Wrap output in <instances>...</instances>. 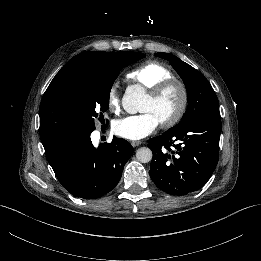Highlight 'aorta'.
Here are the masks:
<instances>
[{
  "label": "aorta",
  "mask_w": 261,
  "mask_h": 261,
  "mask_svg": "<svg viewBox=\"0 0 261 261\" xmlns=\"http://www.w3.org/2000/svg\"><path fill=\"white\" fill-rule=\"evenodd\" d=\"M145 89L142 86H138V89H133L130 93L126 92V96L129 97L132 109L129 112H146V103L149 104L150 96L144 94ZM128 110V108H127ZM153 154L150 148L141 147L136 152V158L141 163H148L152 160Z\"/></svg>",
  "instance_id": "aorta-1"
}]
</instances>
